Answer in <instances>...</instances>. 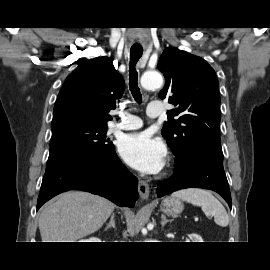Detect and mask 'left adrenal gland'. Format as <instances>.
Here are the masks:
<instances>
[{"label": "left adrenal gland", "instance_id": "obj_1", "mask_svg": "<svg viewBox=\"0 0 270 270\" xmlns=\"http://www.w3.org/2000/svg\"><path fill=\"white\" fill-rule=\"evenodd\" d=\"M161 219H162L161 220L162 228L166 225V223L172 221V220H168L165 215H161Z\"/></svg>", "mask_w": 270, "mask_h": 270}]
</instances>
